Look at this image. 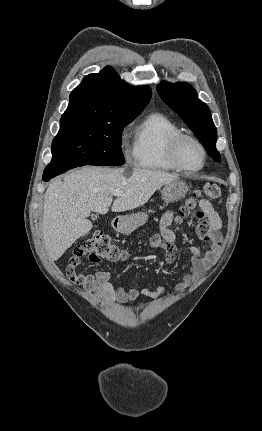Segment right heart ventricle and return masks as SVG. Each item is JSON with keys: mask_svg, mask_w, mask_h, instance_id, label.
<instances>
[{"mask_svg": "<svg viewBox=\"0 0 262 431\" xmlns=\"http://www.w3.org/2000/svg\"><path fill=\"white\" fill-rule=\"evenodd\" d=\"M182 134L181 129L165 115L148 114L135 126L132 150L135 164L145 169L178 171L168 152L171 140Z\"/></svg>", "mask_w": 262, "mask_h": 431, "instance_id": "1", "label": "right heart ventricle"}]
</instances>
